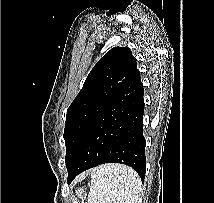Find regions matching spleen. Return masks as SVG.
<instances>
[{"label":"spleen","instance_id":"1","mask_svg":"<svg viewBox=\"0 0 214 203\" xmlns=\"http://www.w3.org/2000/svg\"><path fill=\"white\" fill-rule=\"evenodd\" d=\"M140 190L141 180L132 168L102 165L92 171L88 203H137Z\"/></svg>","mask_w":214,"mask_h":203}]
</instances>
